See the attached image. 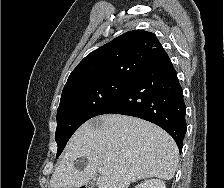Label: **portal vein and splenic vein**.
Masks as SVG:
<instances>
[{
	"mask_svg": "<svg viewBox=\"0 0 224 188\" xmlns=\"http://www.w3.org/2000/svg\"><path fill=\"white\" fill-rule=\"evenodd\" d=\"M99 173L100 174H105V173H107L104 169H99Z\"/></svg>",
	"mask_w": 224,
	"mask_h": 188,
	"instance_id": "portal-vein-and-splenic-vein-1",
	"label": "portal vein and splenic vein"
}]
</instances>
